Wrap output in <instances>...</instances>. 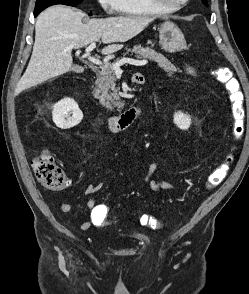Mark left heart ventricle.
I'll return each mask as SVG.
<instances>
[{"instance_id":"obj_1","label":"left heart ventricle","mask_w":249,"mask_h":294,"mask_svg":"<svg viewBox=\"0 0 249 294\" xmlns=\"http://www.w3.org/2000/svg\"><path fill=\"white\" fill-rule=\"evenodd\" d=\"M184 0H164V2L168 5L174 6L177 4H180L181 2H183Z\"/></svg>"}]
</instances>
